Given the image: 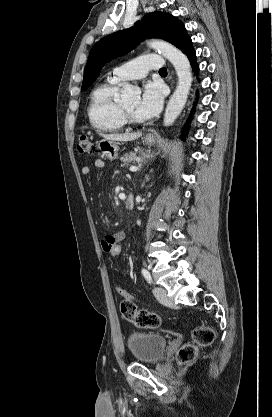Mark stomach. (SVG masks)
<instances>
[{
    "instance_id": "0dacf381",
    "label": "stomach",
    "mask_w": 272,
    "mask_h": 417,
    "mask_svg": "<svg viewBox=\"0 0 272 417\" xmlns=\"http://www.w3.org/2000/svg\"><path fill=\"white\" fill-rule=\"evenodd\" d=\"M144 142L147 145H154L156 142V138L153 136L151 137L146 136L144 138ZM98 148L102 151V154L106 159L110 161L117 159L119 146H118V143H116L115 141L102 139L98 143Z\"/></svg>"
}]
</instances>
